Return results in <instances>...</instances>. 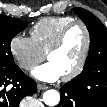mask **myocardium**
<instances>
[{"label":"myocardium","mask_w":107,"mask_h":107,"mask_svg":"<svg viewBox=\"0 0 107 107\" xmlns=\"http://www.w3.org/2000/svg\"><path fill=\"white\" fill-rule=\"evenodd\" d=\"M79 26L83 29L84 34H85V44L83 48V52L81 54V57L79 59L78 64L76 67L69 72L66 75H63V80L64 81H70L78 77L84 70L86 63L88 61L89 55H90V50H91V44H92V37H91V32L89 27L87 26L86 23H84L81 20H74L71 23L67 24L58 34L56 40L54 43L50 46L48 51L46 52V57L48 58L49 55L57 50H59L62 45L64 44V41L69 33V31L76 27Z\"/></svg>","instance_id":"f54148a6"}]
</instances>
